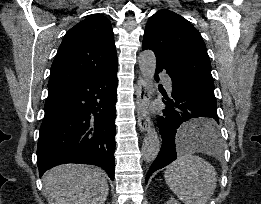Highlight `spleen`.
Returning <instances> with one entry per match:
<instances>
[{
  "instance_id": "spleen-1",
  "label": "spleen",
  "mask_w": 261,
  "mask_h": 204,
  "mask_svg": "<svg viewBox=\"0 0 261 204\" xmlns=\"http://www.w3.org/2000/svg\"><path fill=\"white\" fill-rule=\"evenodd\" d=\"M204 119L184 123L182 133L192 132ZM195 150L214 153L219 147V138L216 141L198 140L190 145ZM164 178L169 188L184 204H206L216 189V171L203 158L183 153L167 166Z\"/></svg>"
}]
</instances>
